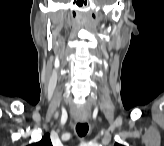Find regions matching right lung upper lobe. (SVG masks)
I'll return each instance as SVG.
<instances>
[{
    "mask_svg": "<svg viewBox=\"0 0 164 146\" xmlns=\"http://www.w3.org/2000/svg\"><path fill=\"white\" fill-rule=\"evenodd\" d=\"M35 146H52L49 134H46L41 141L33 144Z\"/></svg>",
    "mask_w": 164,
    "mask_h": 146,
    "instance_id": "obj_1",
    "label": "right lung upper lobe"
}]
</instances>
